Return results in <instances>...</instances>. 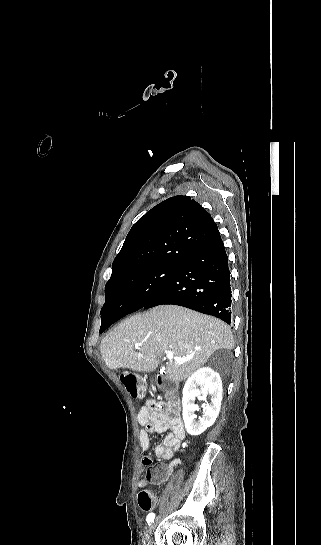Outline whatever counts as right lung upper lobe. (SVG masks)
<instances>
[{"label":"right lung upper lobe","mask_w":321,"mask_h":545,"mask_svg":"<svg viewBox=\"0 0 321 545\" xmlns=\"http://www.w3.org/2000/svg\"><path fill=\"white\" fill-rule=\"evenodd\" d=\"M218 232L211 215L194 199L171 197L132 226L106 286L124 273L160 264L182 265Z\"/></svg>","instance_id":"obj_1"}]
</instances>
